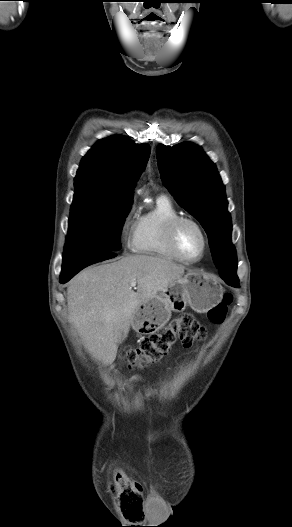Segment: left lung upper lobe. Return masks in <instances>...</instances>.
Returning <instances> with one entry per match:
<instances>
[{
    "label": "left lung upper lobe",
    "mask_w": 292,
    "mask_h": 527,
    "mask_svg": "<svg viewBox=\"0 0 292 527\" xmlns=\"http://www.w3.org/2000/svg\"><path fill=\"white\" fill-rule=\"evenodd\" d=\"M156 153L164 185L205 229L216 267L220 272L236 274L231 216L216 166L193 143L173 147L160 144Z\"/></svg>",
    "instance_id": "1"
}]
</instances>
